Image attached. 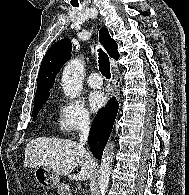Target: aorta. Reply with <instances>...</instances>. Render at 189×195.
<instances>
[{"instance_id":"obj_1","label":"aorta","mask_w":189,"mask_h":195,"mask_svg":"<svg viewBox=\"0 0 189 195\" xmlns=\"http://www.w3.org/2000/svg\"><path fill=\"white\" fill-rule=\"evenodd\" d=\"M84 77V62L75 58L70 60L62 73V87L64 94L70 98H76L82 91ZM112 168V149L107 151L100 165L98 178V195H106L110 183V171Z\"/></svg>"}]
</instances>
